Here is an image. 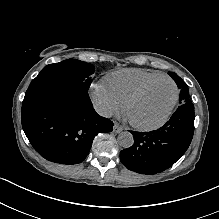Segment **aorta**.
<instances>
[{"mask_svg":"<svg viewBox=\"0 0 219 219\" xmlns=\"http://www.w3.org/2000/svg\"><path fill=\"white\" fill-rule=\"evenodd\" d=\"M118 144L123 148H130L134 144L133 135L128 132H122L118 135Z\"/></svg>","mask_w":219,"mask_h":219,"instance_id":"762f6f07","label":"aorta"}]
</instances>
